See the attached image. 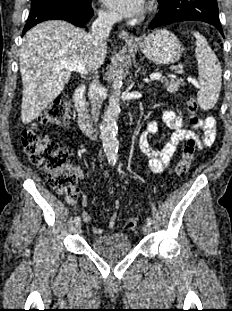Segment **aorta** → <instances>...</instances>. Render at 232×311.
Listing matches in <instances>:
<instances>
[{"label":"aorta","mask_w":232,"mask_h":311,"mask_svg":"<svg viewBox=\"0 0 232 311\" xmlns=\"http://www.w3.org/2000/svg\"><path fill=\"white\" fill-rule=\"evenodd\" d=\"M118 75H122L123 71L120 69L117 71ZM122 87V81L116 79L113 84V95L110 98L109 106L104 114V118L101 124V138L103 142V148L109 159H116L119 147V141L117 139V119L120 115L121 109L119 104L120 89Z\"/></svg>","instance_id":"1"}]
</instances>
